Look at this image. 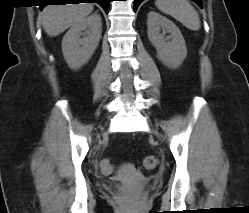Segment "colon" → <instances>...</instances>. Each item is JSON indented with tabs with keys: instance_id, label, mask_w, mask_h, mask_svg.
Masks as SVG:
<instances>
[{
	"instance_id": "obj_1",
	"label": "colon",
	"mask_w": 249,
	"mask_h": 213,
	"mask_svg": "<svg viewBox=\"0 0 249 213\" xmlns=\"http://www.w3.org/2000/svg\"><path fill=\"white\" fill-rule=\"evenodd\" d=\"M157 164H158L157 157L154 155H148L144 157V159L142 160L139 169L152 170L157 166ZM101 168L104 173H111L113 170L109 159H103L101 161Z\"/></svg>"
}]
</instances>
